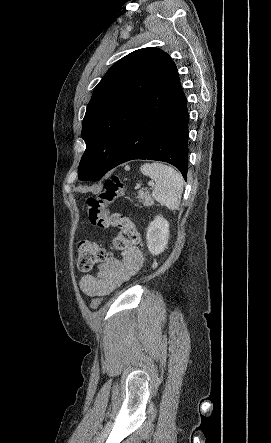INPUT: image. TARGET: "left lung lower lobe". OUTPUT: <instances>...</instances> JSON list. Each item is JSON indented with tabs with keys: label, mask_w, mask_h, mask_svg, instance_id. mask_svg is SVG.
I'll use <instances>...</instances> for the list:
<instances>
[{
	"label": "left lung lower lobe",
	"mask_w": 271,
	"mask_h": 443,
	"mask_svg": "<svg viewBox=\"0 0 271 443\" xmlns=\"http://www.w3.org/2000/svg\"><path fill=\"white\" fill-rule=\"evenodd\" d=\"M188 121L187 100L171 60L134 113L109 170L132 159L157 160L177 167L186 180Z\"/></svg>",
	"instance_id": "left-lung-lower-lobe-1"
}]
</instances>
